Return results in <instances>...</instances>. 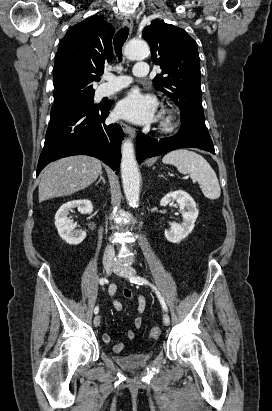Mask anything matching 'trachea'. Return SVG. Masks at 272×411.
Listing matches in <instances>:
<instances>
[{
	"label": "trachea",
	"instance_id": "trachea-1",
	"mask_svg": "<svg viewBox=\"0 0 272 411\" xmlns=\"http://www.w3.org/2000/svg\"><path fill=\"white\" fill-rule=\"evenodd\" d=\"M128 34H129V28L124 27V28H121L114 37V40H113L114 49H115V52H116V55L119 61H122V47L127 40Z\"/></svg>",
	"mask_w": 272,
	"mask_h": 411
}]
</instances>
